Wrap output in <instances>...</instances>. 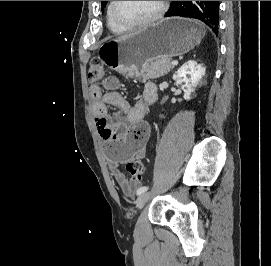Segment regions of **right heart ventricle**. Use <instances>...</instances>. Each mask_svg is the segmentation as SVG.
Segmentation results:
<instances>
[{
  "label": "right heart ventricle",
  "instance_id": "e07e8e85",
  "mask_svg": "<svg viewBox=\"0 0 271 266\" xmlns=\"http://www.w3.org/2000/svg\"><path fill=\"white\" fill-rule=\"evenodd\" d=\"M110 8H111V1L108 3L107 10H106V19H107V25L109 29L115 34H122L126 32L127 31L126 28L121 27L120 25L114 22L111 16Z\"/></svg>",
  "mask_w": 271,
  "mask_h": 266
}]
</instances>
